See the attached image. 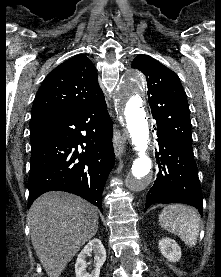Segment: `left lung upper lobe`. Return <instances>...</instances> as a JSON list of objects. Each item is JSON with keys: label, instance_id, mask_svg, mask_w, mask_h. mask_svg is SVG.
I'll return each mask as SVG.
<instances>
[{"label": "left lung upper lobe", "instance_id": "obj_1", "mask_svg": "<svg viewBox=\"0 0 221 277\" xmlns=\"http://www.w3.org/2000/svg\"><path fill=\"white\" fill-rule=\"evenodd\" d=\"M132 68L140 70L146 77L148 101L156 123L191 146L187 96L177 74L148 55H138Z\"/></svg>", "mask_w": 221, "mask_h": 277}]
</instances>
